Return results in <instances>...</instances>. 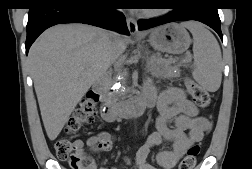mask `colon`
<instances>
[{"mask_svg":"<svg viewBox=\"0 0 252 169\" xmlns=\"http://www.w3.org/2000/svg\"><path fill=\"white\" fill-rule=\"evenodd\" d=\"M186 87L194 101L200 108H206L210 104V95L193 80H186ZM98 101V94L89 91L81 100L79 105L74 109L68 120L66 132L74 134L83 126L90 124L94 119L95 106ZM82 141L73 138H60L55 143V152L60 160L66 161L72 169H84L88 160L81 156ZM200 148L194 145L189 148L178 169H193L199 156Z\"/></svg>","mask_w":252,"mask_h":169,"instance_id":"5ec220e1","label":"colon"}]
</instances>
